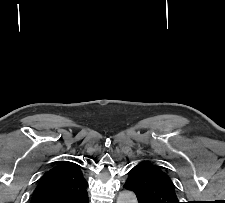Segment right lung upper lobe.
Returning <instances> with one entry per match:
<instances>
[{
	"label": "right lung upper lobe",
	"instance_id": "1",
	"mask_svg": "<svg viewBox=\"0 0 225 203\" xmlns=\"http://www.w3.org/2000/svg\"><path fill=\"white\" fill-rule=\"evenodd\" d=\"M87 187L81 166L64 161L41 177L31 203H76L88 194Z\"/></svg>",
	"mask_w": 225,
	"mask_h": 203
}]
</instances>
